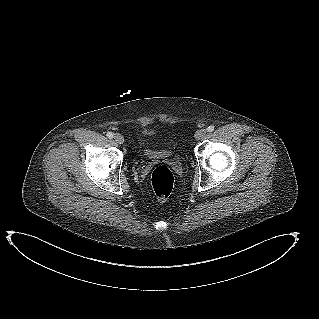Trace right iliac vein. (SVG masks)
<instances>
[{
    "label": "right iliac vein",
    "mask_w": 319,
    "mask_h": 319,
    "mask_svg": "<svg viewBox=\"0 0 319 319\" xmlns=\"http://www.w3.org/2000/svg\"><path fill=\"white\" fill-rule=\"evenodd\" d=\"M114 140H115L118 144H123V143H124V137H123L121 134H115Z\"/></svg>",
    "instance_id": "1"
}]
</instances>
